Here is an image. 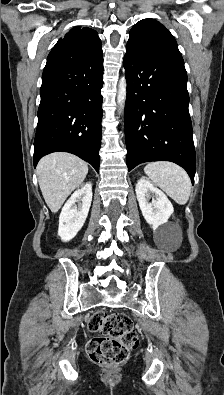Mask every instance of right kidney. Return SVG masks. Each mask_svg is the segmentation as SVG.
<instances>
[{
	"mask_svg": "<svg viewBox=\"0 0 224 395\" xmlns=\"http://www.w3.org/2000/svg\"><path fill=\"white\" fill-rule=\"evenodd\" d=\"M92 201V184L86 183L76 190L65 203L59 216L58 235L67 242L83 227Z\"/></svg>",
	"mask_w": 224,
	"mask_h": 395,
	"instance_id": "obj_1",
	"label": "right kidney"
}]
</instances>
